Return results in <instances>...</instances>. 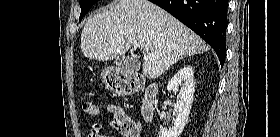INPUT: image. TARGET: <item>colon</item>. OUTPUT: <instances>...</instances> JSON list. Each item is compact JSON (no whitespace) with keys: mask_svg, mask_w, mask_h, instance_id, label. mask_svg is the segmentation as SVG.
<instances>
[{"mask_svg":"<svg viewBox=\"0 0 280 137\" xmlns=\"http://www.w3.org/2000/svg\"><path fill=\"white\" fill-rule=\"evenodd\" d=\"M83 110L90 116V117H97L100 114V105L96 101H85L83 103ZM128 128L129 132L132 136H136L139 133V127L133 120H128Z\"/></svg>","mask_w":280,"mask_h":137,"instance_id":"colon-1","label":"colon"}]
</instances>
